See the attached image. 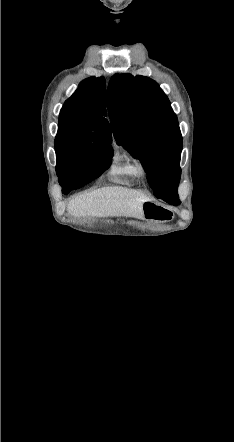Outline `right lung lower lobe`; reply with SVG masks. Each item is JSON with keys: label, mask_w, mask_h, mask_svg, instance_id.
<instances>
[{"label": "right lung lower lobe", "mask_w": 234, "mask_h": 442, "mask_svg": "<svg viewBox=\"0 0 234 442\" xmlns=\"http://www.w3.org/2000/svg\"><path fill=\"white\" fill-rule=\"evenodd\" d=\"M71 190L70 189H62V193L68 194Z\"/></svg>", "instance_id": "98d812e1"}]
</instances>
